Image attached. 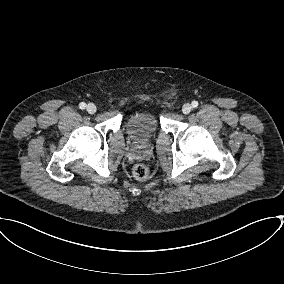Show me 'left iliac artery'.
<instances>
[{"label": "left iliac artery", "instance_id": "44dca946", "mask_svg": "<svg viewBox=\"0 0 284 284\" xmlns=\"http://www.w3.org/2000/svg\"><path fill=\"white\" fill-rule=\"evenodd\" d=\"M191 105H192V107L196 108L198 106V102L197 101H192Z\"/></svg>", "mask_w": 284, "mask_h": 284}]
</instances>
